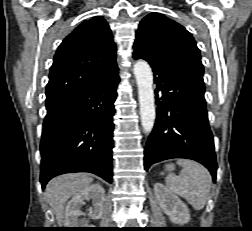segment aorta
<instances>
[{"label": "aorta", "instance_id": "1", "mask_svg": "<svg viewBox=\"0 0 252 231\" xmlns=\"http://www.w3.org/2000/svg\"><path fill=\"white\" fill-rule=\"evenodd\" d=\"M134 75L138 87L141 124L144 131L150 133L156 117L153 73L150 65L144 60L137 61L134 65Z\"/></svg>", "mask_w": 252, "mask_h": 231}]
</instances>
